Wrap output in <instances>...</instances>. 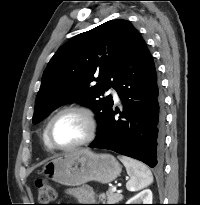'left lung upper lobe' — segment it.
I'll use <instances>...</instances> for the list:
<instances>
[{
    "instance_id": "1",
    "label": "left lung upper lobe",
    "mask_w": 200,
    "mask_h": 205,
    "mask_svg": "<svg viewBox=\"0 0 200 205\" xmlns=\"http://www.w3.org/2000/svg\"><path fill=\"white\" fill-rule=\"evenodd\" d=\"M137 34L128 21L116 19L61 46L44 71L33 122L59 105L78 102L95 112L99 131L113 107L112 96L103 97L104 92L113 86Z\"/></svg>"
}]
</instances>
